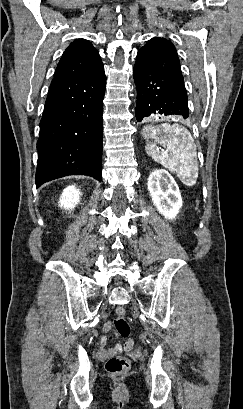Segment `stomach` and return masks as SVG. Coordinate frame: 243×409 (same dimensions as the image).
<instances>
[{
  "instance_id": "0dacf381",
  "label": "stomach",
  "mask_w": 243,
  "mask_h": 409,
  "mask_svg": "<svg viewBox=\"0 0 243 409\" xmlns=\"http://www.w3.org/2000/svg\"><path fill=\"white\" fill-rule=\"evenodd\" d=\"M142 135L145 139L149 140V139H154L155 137L160 138L163 135V133L160 132L159 126L151 124V125H146L142 129Z\"/></svg>"
}]
</instances>
